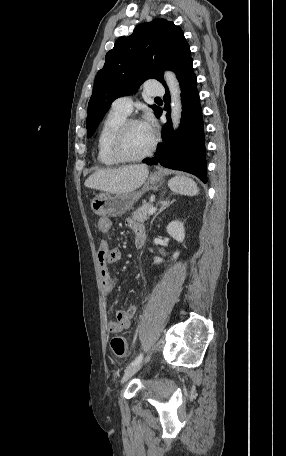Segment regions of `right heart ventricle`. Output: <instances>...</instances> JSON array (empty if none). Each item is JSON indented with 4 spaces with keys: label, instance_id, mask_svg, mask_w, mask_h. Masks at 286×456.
<instances>
[{
    "label": "right heart ventricle",
    "instance_id": "obj_1",
    "mask_svg": "<svg viewBox=\"0 0 286 456\" xmlns=\"http://www.w3.org/2000/svg\"><path fill=\"white\" fill-rule=\"evenodd\" d=\"M128 115L111 110L102 122L97 136V159L99 163L105 166H114L120 162L114 158L110 151V142L118 126L127 118Z\"/></svg>",
    "mask_w": 286,
    "mask_h": 456
}]
</instances>
